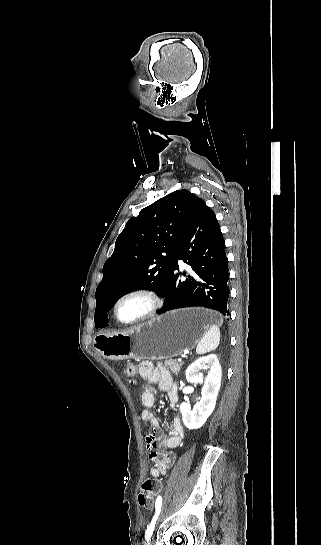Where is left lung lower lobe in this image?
<instances>
[{
	"instance_id": "obj_1",
	"label": "left lung lower lobe",
	"mask_w": 321,
	"mask_h": 545,
	"mask_svg": "<svg viewBox=\"0 0 321 545\" xmlns=\"http://www.w3.org/2000/svg\"><path fill=\"white\" fill-rule=\"evenodd\" d=\"M178 259L192 267L193 277L179 278ZM228 280V258L220 226L215 213L204 202L199 203L175 251L169 279L160 290L165 302L158 313L200 306L228 316Z\"/></svg>"
}]
</instances>
